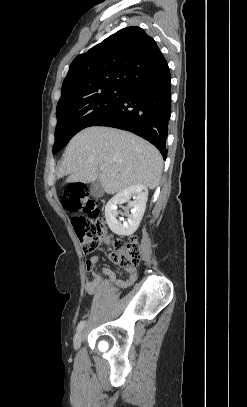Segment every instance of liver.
I'll use <instances>...</instances> for the list:
<instances>
[{
  "label": "liver",
  "mask_w": 247,
  "mask_h": 407,
  "mask_svg": "<svg viewBox=\"0 0 247 407\" xmlns=\"http://www.w3.org/2000/svg\"><path fill=\"white\" fill-rule=\"evenodd\" d=\"M162 168L160 152L137 135L109 127H88L67 145L58 175H68V183L99 179L107 194H115L138 184L155 189Z\"/></svg>",
  "instance_id": "obj_1"
}]
</instances>
